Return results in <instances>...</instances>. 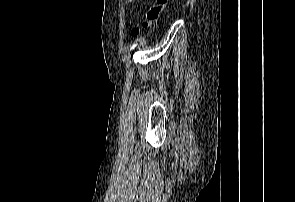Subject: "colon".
<instances>
[{"label": "colon", "mask_w": 295, "mask_h": 202, "mask_svg": "<svg viewBox=\"0 0 295 202\" xmlns=\"http://www.w3.org/2000/svg\"><path fill=\"white\" fill-rule=\"evenodd\" d=\"M167 2L168 0H154L153 4L146 14V20L144 22L145 27L152 26L159 19L160 15L165 9ZM138 33V29L134 28L132 30L133 35H137Z\"/></svg>", "instance_id": "colon-1"}]
</instances>
